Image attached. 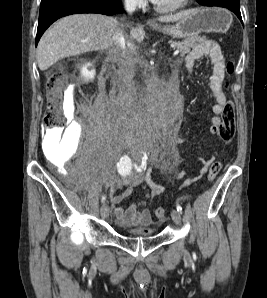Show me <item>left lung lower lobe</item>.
<instances>
[{"mask_svg":"<svg viewBox=\"0 0 267 298\" xmlns=\"http://www.w3.org/2000/svg\"><path fill=\"white\" fill-rule=\"evenodd\" d=\"M204 6H219L228 8L233 11L242 22L239 2L233 0H209Z\"/></svg>","mask_w":267,"mask_h":298,"instance_id":"obj_1","label":"left lung lower lobe"}]
</instances>
